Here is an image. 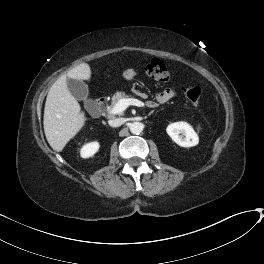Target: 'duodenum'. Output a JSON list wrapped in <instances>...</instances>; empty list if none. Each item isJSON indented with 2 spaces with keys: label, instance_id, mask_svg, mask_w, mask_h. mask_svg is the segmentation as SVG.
Listing matches in <instances>:
<instances>
[{
  "label": "duodenum",
  "instance_id": "duodenum-1",
  "mask_svg": "<svg viewBox=\"0 0 264 264\" xmlns=\"http://www.w3.org/2000/svg\"><path fill=\"white\" fill-rule=\"evenodd\" d=\"M94 106L96 108V110L102 114L105 107H106V99L105 98H96L94 100Z\"/></svg>",
  "mask_w": 264,
  "mask_h": 264
}]
</instances>
